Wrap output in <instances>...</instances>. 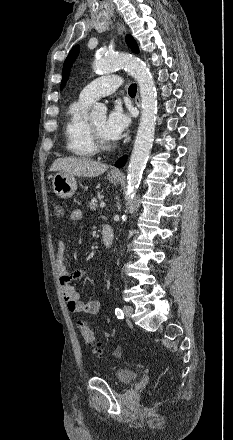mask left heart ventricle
<instances>
[{
    "label": "left heart ventricle",
    "instance_id": "b2bd125f",
    "mask_svg": "<svg viewBox=\"0 0 233 440\" xmlns=\"http://www.w3.org/2000/svg\"><path fill=\"white\" fill-rule=\"evenodd\" d=\"M92 124L94 125V127L97 129V131L106 139H109V136L106 133V129H105V123H106V117L105 115H99L96 116L95 118H93L91 120Z\"/></svg>",
    "mask_w": 233,
    "mask_h": 440
}]
</instances>
